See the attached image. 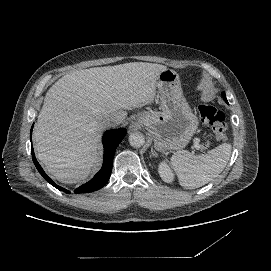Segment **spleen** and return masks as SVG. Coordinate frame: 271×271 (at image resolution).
<instances>
[{
  "label": "spleen",
  "mask_w": 271,
  "mask_h": 271,
  "mask_svg": "<svg viewBox=\"0 0 271 271\" xmlns=\"http://www.w3.org/2000/svg\"><path fill=\"white\" fill-rule=\"evenodd\" d=\"M232 144L221 143L207 154L193 155L186 150L174 153L170 165L181 187L195 189L219 175L231 155Z\"/></svg>",
  "instance_id": "3e777b00"
}]
</instances>
